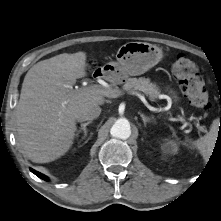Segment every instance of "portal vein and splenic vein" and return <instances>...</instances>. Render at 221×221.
<instances>
[{"label":"portal vein and splenic vein","instance_id":"portal-vein-and-splenic-vein-1","mask_svg":"<svg viewBox=\"0 0 221 221\" xmlns=\"http://www.w3.org/2000/svg\"><path fill=\"white\" fill-rule=\"evenodd\" d=\"M83 91L88 94H100V95L111 97V98H116L121 95L120 93H117L114 89L104 87L101 85H96V84L84 87ZM130 94L138 96L142 101L144 100V96L138 92L131 91ZM180 119L182 118L180 117Z\"/></svg>","mask_w":221,"mask_h":221}]
</instances>
